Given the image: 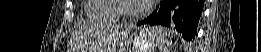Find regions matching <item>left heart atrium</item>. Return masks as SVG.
I'll use <instances>...</instances> for the list:
<instances>
[{
    "label": "left heart atrium",
    "mask_w": 261,
    "mask_h": 52,
    "mask_svg": "<svg viewBox=\"0 0 261 52\" xmlns=\"http://www.w3.org/2000/svg\"><path fill=\"white\" fill-rule=\"evenodd\" d=\"M138 2L143 4V5H149V4H154L155 3L154 0H138Z\"/></svg>",
    "instance_id": "1"
}]
</instances>
